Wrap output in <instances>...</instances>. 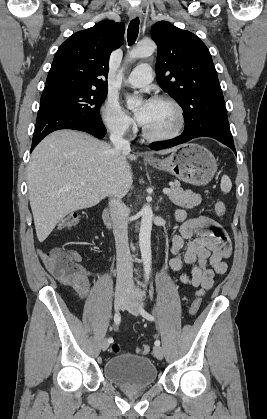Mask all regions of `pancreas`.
Listing matches in <instances>:
<instances>
[{"instance_id":"pancreas-1","label":"pancreas","mask_w":267,"mask_h":419,"mask_svg":"<svg viewBox=\"0 0 267 419\" xmlns=\"http://www.w3.org/2000/svg\"><path fill=\"white\" fill-rule=\"evenodd\" d=\"M169 199L175 205L186 209H192L201 203V195L196 194L191 190L184 191L180 186V182L177 180L172 182Z\"/></svg>"}]
</instances>
